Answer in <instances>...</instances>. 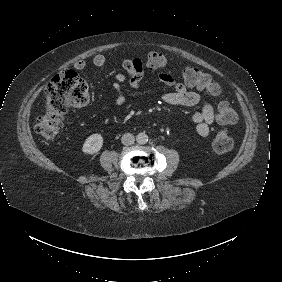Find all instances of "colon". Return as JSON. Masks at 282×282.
<instances>
[{
	"label": "colon",
	"instance_id": "1",
	"mask_svg": "<svg viewBox=\"0 0 282 282\" xmlns=\"http://www.w3.org/2000/svg\"><path fill=\"white\" fill-rule=\"evenodd\" d=\"M151 68L167 66V58L162 52L152 51L147 58ZM186 84L219 96V84L208 74L193 66L182 68ZM45 114L37 121L35 129L41 139L50 143L55 141L63 126V115L67 108H81L89 103L87 83L74 71H65L54 76L46 87ZM218 120L223 124H233L238 115L225 99H220L217 106ZM233 140L226 131L218 132L213 139V148L218 154H225L232 149Z\"/></svg>",
	"mask_w": 282,
	"mask_h": 282
}]
</instances>
